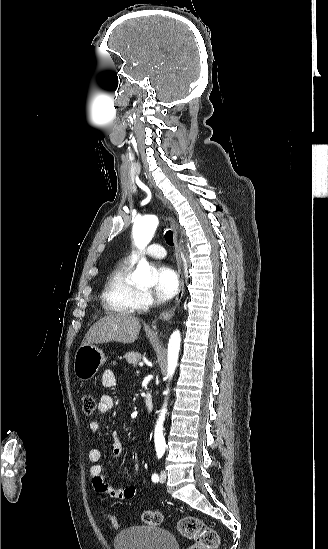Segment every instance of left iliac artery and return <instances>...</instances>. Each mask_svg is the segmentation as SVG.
<instances>
[{"label":"left iliac artery","instance_id":"obj_1","mask_svg":"<svg viewBox=\"0 0 328 549\" xmlns=\"http://www.w3.org/2000/svg\"><path fill=\"white\" fill-rule=\"evenodd\" d=\"M160 457H161V456H158V458H160ZM158 480H159L158 475H157V474H153V475H152V481H153V482H158Z\"/></svg>","mask_w":328,"mask_h":549}]
</instances>
